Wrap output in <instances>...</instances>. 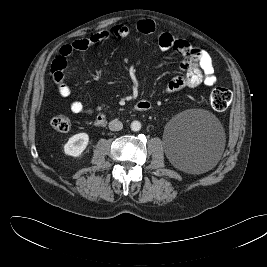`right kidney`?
<instances>
[{
  "label": "right kidney",
  "instance_id": "obj_1",
  "mask_svg": "<svg viewBox=\"0 0 267 267\" xmlns=\"http://www.w3.org/2000/svg\"><path fill=\"white\" fill-rule=\"evenodd\" d=\"M89 142V136L86 133H79L71 138L64 145V153L69 156L77 157L86 149Z\"/></svg>",
  "mask_w": 267,
  "mask_h": 267
}]
</instances>
